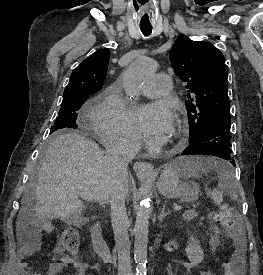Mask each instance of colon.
<instances>
[{"mask_svg":"<svg viewBox=\"0 0 263 275\" xmlns=\"http://www.w3.org/2000/svg\"><path fill=\"white\" fill-rule=\"evenodd\" d=\"M213 218L225 229H227L231 236L237 235V225L234 217V212L231 208H223L214 214ZM61 243L63 247L72 254L75 258L78 253L80 236L79 232L73 227L64 229L61 235ZM76 262V261H75ZM210 272H204L202 275H209ZM224 275H243V264L236 259L226 263Z\"/></svg>","mask_w":263,"mask_h":275,"instance_id":"obj_1","label":"colon"}]
</instances>
